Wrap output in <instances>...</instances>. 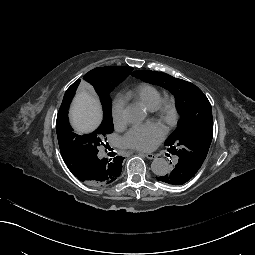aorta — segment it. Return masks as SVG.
Returning <instances> with one entry per match:
<instances>
[{
  "mask_svg": "<svg viewBox=\"0 0 255 255\" xmlns=\"http://www.w3.org/2000/svg\"><path fill=\"white\" fill-rule=\"evenodd\" d=\"M124 117L129 123L136 124L145 119L146 113L141 107L130 105L125 108ZM151 170L157 176H162L169 172L170 165L164 158H156L151 163Z\"/></svg>",
  "mask_w": 255,
  "mask_h": 255,
  "instance_id": "aorta-1",
  "label": "aorta"
}]
</instances>
